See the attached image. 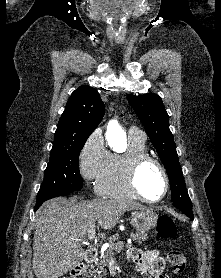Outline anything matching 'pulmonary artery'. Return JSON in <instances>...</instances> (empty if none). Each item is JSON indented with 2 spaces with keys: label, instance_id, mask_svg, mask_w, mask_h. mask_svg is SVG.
I'll return each mask as SVG.
<instances>
[{
  "label": "pulmonary artery",
  "instance_id": "e3ab8cb5",
  "mask_svg": "<svg viewBox=\"0 0 221 278\" xmlns=\"http://www.w3.org/2000/svg\"><path fill=\"white\" fill-rule=\"evenodd\" d=\"M129 134L132 136L145 138L144 133L134 126L129 128Z\"/></svg>",
  "mask_w": 221,
  "mask_h": 278
}]
</instances>
